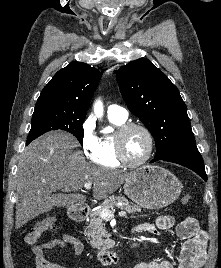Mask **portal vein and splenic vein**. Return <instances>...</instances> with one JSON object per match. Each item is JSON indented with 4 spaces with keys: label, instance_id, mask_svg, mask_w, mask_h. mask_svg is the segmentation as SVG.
<instances>
[{
    "label": "portal vein and splenic vein",
    "instance_id": "1",
    "mask_svg": "<svg viewBox=\"0 0 221 268\" xmlns=\"http://www.w3.org/2000/svg\"><path fill=\"white\" fill-rule=\"evenodd\" d=\"M91 186H92V184H90V183L84 184V188L87 190L91 189ZM118 214H119V216H126V211L121 210ZM100 216L105 220H110V219L114 218V212L111 211L110 209H103L100 213Z\"/></svg>",
    "mask_w": 221,
    "mask_h": 268
}]
</instances>
